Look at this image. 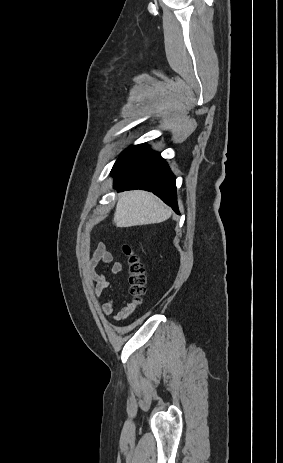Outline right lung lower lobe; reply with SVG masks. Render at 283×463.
<instances>
[{
  "label": "right lung lower lobe",
  "instance_id": "98d812e1",
  "mask_svg": "<svg viewBox=\"0 0 283 463\" xmlns=\"http://www.w3.org/2000/svg\"><path fill=\"white\" fill-rule=\"evenodd\" d=\"M112 174L118 191H151L178 213L175 176L160 154L146 144L125 150L114 164Z\"/></svg>",
  "mask_w": 283,
  "mask_h": 463
}]
</instances>
